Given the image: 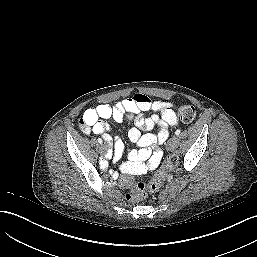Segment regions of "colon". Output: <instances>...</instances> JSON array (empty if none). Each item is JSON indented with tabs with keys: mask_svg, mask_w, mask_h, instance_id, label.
I'll list each match as a JSON object with an SVG mask.
<instances>
[{
	"mask_svg": "<svg viewBox=\"0 0 257 257\" xmlns=\"http://www.w3.org/2000/svg\"><path fill=\"white\" fill-rule=\"evenodd\" d=\"M196 117V110L191 105H183L178 108V118L183 123H191ZM177 164V158L168 157L165 165L155 174L148 184L151 191H157L163 184L171 168ZM123 185L131 188V192L126 195L127 199L139 201L146 197V184L143 182L133 183L132 179L126 175L123 177Z\"/></svg>",
	"mask_w": 257,
	"mask_h": 257,
	"instance_id": "obj_1",
	"label": "colon"
}]
</instances>
